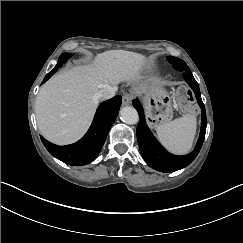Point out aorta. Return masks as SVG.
<instances>
[{
    "instance_id": "obj_1",
    "label": "aorta",
    "mask_w": 243,
    "mask_h": 243,
    "mask_svg": "<svg viewBox=\"0 0 243 243\" xmlns=\"http://www.w3.org/2000/svg\"><path fill=\"white\" fill-rule=\"evenodd\" d=\"M120 115H121L122 121L129 125L136 124L139 120L137 110L131 106H126V107L122 108L120 111Z\"/></svg>"
}]
</instances>
